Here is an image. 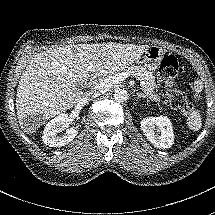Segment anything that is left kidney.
<instances>
[{"label": "left kidney", "mask_w": 215, "mask_h": 215, "mask_svg": "<svg viewBox=\"0 0 215 215\" xmlns=\"http://www.w3.org/2000/svg\"><path fill=\"white\" fill-rule=\"evenodd\" d=\"M140 124L144 135L154 147L165 149L174 144L173 127L167 116L147 117Z\"/></svg>", "instance_id": "5707ae66"}]
</instances>
